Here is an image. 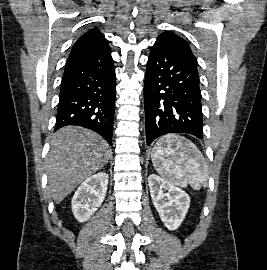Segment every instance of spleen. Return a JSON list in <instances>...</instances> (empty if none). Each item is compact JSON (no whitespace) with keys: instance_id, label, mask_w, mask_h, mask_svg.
Masks as SVG:
<instances>
[{"instance_id":"3e777b00","label":"spleen","mask_w":267,"mask_h":270,"mask_svg":"<svg viewBox=\"0 0 267 270\" xmlns=\"http://www.w3.org/2000/svg\"><path fill=\"white\" fill-rule=\"evenodd\" d=\"M156 171L167 181L199 190L206 184L208 166L200 150L187 138L168 134L161 138L151 155Z\"/></svg>"}]
</instances>
